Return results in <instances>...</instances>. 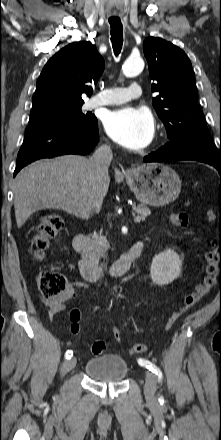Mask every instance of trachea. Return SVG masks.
Instances as JSON below:
<instances>
[{
  "label": "trachea",
  "instance_id": "1",
  "mask_svg": "<svg viewBox=\"0 0 221 440\" xmlns=\"http://www.w3.org/2000/svg\"><path fill=\"white\" fill-rule=\"evenodd\" d=\"M109 24L111 26V42L115 55H118L121 51L123 44V26L120 18H109Z\"/></svg>",
  "mask_w": 221,
  "mask_h": 440
}]
</instances>
